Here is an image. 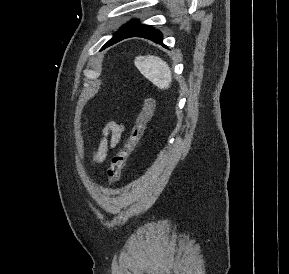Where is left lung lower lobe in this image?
Returning a JSON list of instances; mask_svg holds the SVG:
<instances>
[{
    "mask_svg": "<svg viewBox=\"0 0 289 274\" xmlns=\"http://www.w3.org/2000/svg\"><path fill=\"white\" fill-rule=\"evenodd\" d=\"M130 37H144L146 39L152 40L155 43L164 45L162 43L161 32L152 28L151 26L140 24L136 29H134L130 33L126 34L125 36L121 37L120 39L112 41V42L104 45L101 50H103V49L123 40V39L130 38Z\"/></svg>",
    "mask_w": 289,
    "mask_h": 274,
    "instance_id": "0a47b994",
    "label": "left lung lower lobe"
}]
</instances>
